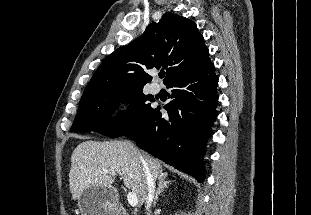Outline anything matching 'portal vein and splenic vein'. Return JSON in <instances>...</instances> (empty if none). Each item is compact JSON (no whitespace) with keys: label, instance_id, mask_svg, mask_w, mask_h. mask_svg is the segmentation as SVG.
<instances>
[{"label":"portal vein and splenic vein","instance_id":"portal-vein-and-splenic-vein-1","mask_svg":"<svg viewBox=\"0 0 311 215\" xmlns=\"http://www.w3.org/2000/svg\"><path fill=\"white\" fill-rule=\"evenodd\" d=\"M104 173H110L112 174L113 176H115V173L113 172H110L108 170H103ZM127 200H128V203L132 206V207H135L138 205V199H137V196L135 193L133 192H129L128 195H127Z\"/></svg>","mask_w":311,"mask_h":215}]
</instances>
